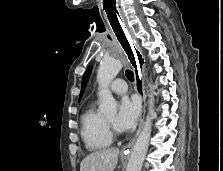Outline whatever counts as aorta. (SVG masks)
<instances>
[{"instance_id":"obj_1","label":"aorta","mask_w":223,"mask_h":171,"mask_svg":"<svg viewBox=\"0 0 223 171\" xmlns=\"http://www.w3.org/2000/svg\"><path fill=\"white\" fill-rule=\"evenodd\" d=\"M122 69V62L118 59H105L101 62L97 73L99 83V95L102 98L100 111L104 115H115L117 103L109 90V84ZM149 112L132 150L126 171H141L151 136V125L153 120L154 95H149Z\"/></svg>"}]
</instances>
